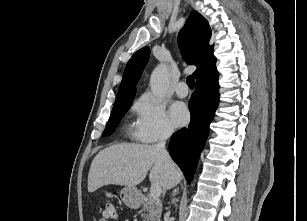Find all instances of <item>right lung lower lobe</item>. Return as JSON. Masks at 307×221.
Wrapping results in <instances>:
<instances>
[{
    "instance_id": "obj_1",
    "label": "right lung lower lobe",
    "mask_w": 307,
    "mask_h": 221,
    "mask_svg": "<svg viewBox=\"0 0 307 221\" xmlns=\"http://www.w3.org/2000/svg\"><path fill=\"white\" fill-rule=\"evenodd\" d=\"M218 80L206 85L196 84L189 101L191 122L173 134L169 152L181 168L188 184L193 178L199 155L209 134V123L214 118L219 101Z\"/></svg>"
}]
</instances>
